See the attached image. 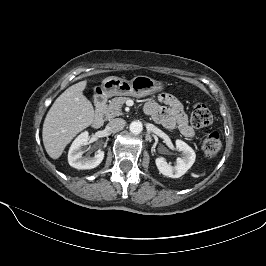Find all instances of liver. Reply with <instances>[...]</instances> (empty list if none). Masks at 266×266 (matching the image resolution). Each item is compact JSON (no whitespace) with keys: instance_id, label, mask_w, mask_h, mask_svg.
Masks as SVG:
<instances>
[{"instance_id":"obj_1","label":"liver","mask_w":266,"mask_h":266,"mask_svg":"<svg viewBox=\"0 0 266 266\" xmlns=\"http://www.w3.org/2000/svg\"><path fill=\"white\" fill-rule=\"evenodd\" d=\"M86 86L87 81H80L67 88L46 115L42 138L52 159H58L67 144L94 121L92 103L83 94Z\"/></svg>"}]
</instances>
